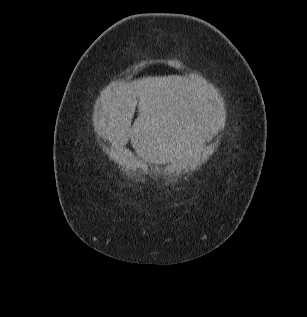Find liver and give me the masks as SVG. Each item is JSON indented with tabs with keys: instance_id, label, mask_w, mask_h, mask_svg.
<instances>
[{
	"instance_id": "obj_1",
	"label": "liver",
	"mask_w": 307,
	"mask_h": 317,
	"mask_svg": "<svg viewBox=\"0 0 307 317\" xmlns=\"http://www.w3.org/2000/svg\"><path fill=\"white\" fill-rule=\"evenodd\" d=\"M208 99L199 85L180 76H149L116 93H103L97 106L111 142L130 139L138 159L175 166L170 160L191 153V148H205L201 141L213 122ZM136 106L139 115L131 126Z\"/></svg>"
}]
</instances>
